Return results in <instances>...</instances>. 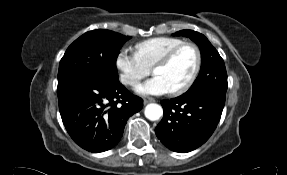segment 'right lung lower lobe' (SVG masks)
Returning <instances> with one entry per match:
<instances>
[{
  "instance_id": "right-lung-lower-lobe-1",
  "label": "right lung lower lobe",
  "mask_w": 287,
  "mask_h": 175,
  "mask_svg": "<svg viewBox=\"0 0 287 175\" xmlns=\"http://www.w3.org/2000/svg\"><path fill=\"white\" fill-rule=\"evenodd\" d=\"M57 94L67 132L80 147L93 153L113 148L128 118L143 107V100L121 83L86 77L59 82Z\"/></svg>"
}]
</instances>
